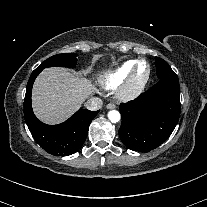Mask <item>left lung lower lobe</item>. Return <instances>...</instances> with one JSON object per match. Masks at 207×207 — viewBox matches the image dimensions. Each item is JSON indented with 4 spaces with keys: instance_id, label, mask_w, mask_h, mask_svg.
Here are the masks:
<instances>
[{
    "instance_id": "left-lung-lower-lobe-1",
    "label": "left lung lower lobe",
    "mask_w": 207,
    "mask_h": 207,
    "mask_svg": "<svg viewBox=\"0 0 207 207\" xmlns=\"http://www.w3.org/2000/svg\"><path fill=\"white\" fill-rule=\"evenodd\" d=\"M119 137L131 150L149 152L173 132L180 116V87L177 76L160 79L135 100L120 106Z\"/></svg>"
}]
</instances>
